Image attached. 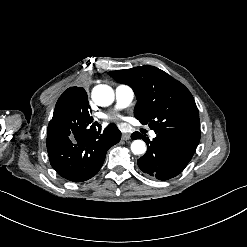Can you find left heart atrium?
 <instances>
[{
	"label": "left heart atrium",
	"mask_w": 247,
	"mask_h": 247,
	"mask_svg": "<svg viewBox=\"0 0 247 247\" xmlns=\"http://www.w3.org/2000/svg\"><path fill=\"white\" fill-rule=\"evenodd\" d=\"M109 120H120L122 117L120 115H112V116H106Z\"/></svg>",
	"instance_id": "39dd6f15"
}]
</instances>
